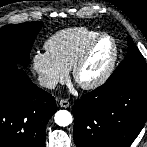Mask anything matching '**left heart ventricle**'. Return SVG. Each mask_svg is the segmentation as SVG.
I'll return each mask as SVG.
<instances>
[{"instance_id": "b2bd125f", "label": "left heart ventricle", "mask_w": 147, "mask_h": 147, "mask_svg": "<svg viewBox=\"0 0 147 147\" xmlns=\"http://www.w3.org/2000/svg\"><path fill=\"white\" fill-rule=\"evenodd\" d=\"M112 55V43L103 39L94 47L90 57L80 71L79 80L82 83L97 78L107 67Z\"/></svg>"}]
</instances>
